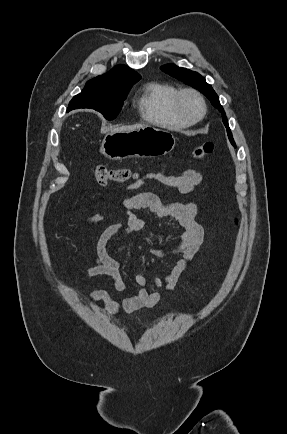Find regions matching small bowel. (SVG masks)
<instances>
[{"label": "small bowel", "instance_id": "c3829d8e", "mask_svg": "<svg viewBox=\"0 0 287 434\" xmlns=\"http://www.w3.org/2000/svg\"><path fill=\"white\" fill-rule=\"evenodd\" d=\"M201 181L200 173L187 169L181 175L148 173L127 186L128 191H133L149 182H156L178 190L188 199L185 202L163 203L152 193H139L126 197L121 203L119 212L127 217V222L114 224L100 235L98 253L92 256L94 265L87 268L81 277L107 275L112 279L116 290L121 291L125 288V281L120 273L121 263L108 254L106 246L119 234L136 235L148 227L145 220L133 215L134 210H148L159 218L173 219L177 222L182 230L179 241L172 245L150 247L148 251L155 257H172L175 262L163 277L147 278L142 274L135 275L134 281L139 289L128 295L122 302L113 300L104 290H94L88 295L91 303L102 302L106 310L112 314L132 313L142 308H151L162 299L161 292L149 293L147 287H164L167 292L174 290L204 240V229L197 221L198 207L190 198ZM103 218L104 214L96 213L87 217L85 222L91 226Z\"/></svg>", "mask_w": 287, "mask_h": 434}]
</instances>
